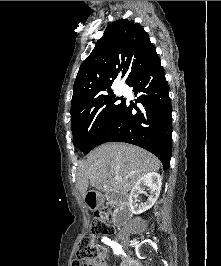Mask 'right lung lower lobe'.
<instances>
[{"label":"right lung lower lobe","instance_id":"98d812e1","mask_svg":"<svg viewBox=\"0 0 221 266\" xmlns=\"http://www.w3.org/2000/svg\"><path fill=\"white\" fill-rule=\"evenodd\" d=\"M128 85L133 87L135 96L138 95L141 107L125 101L117 119L97 145L110 141L137 145L156 155L163 168L168 169L172 153V106L160 59L136 74ZM133 108L136 114L132 113Z\"/></svg>","mask_w":221,"mask_h":266}]
</instances>
